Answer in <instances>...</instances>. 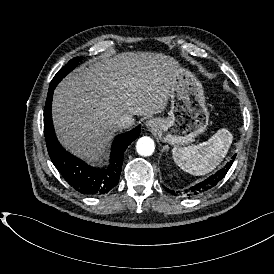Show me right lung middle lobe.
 Segmentation results:
<instances>
[{
	"label": "right lung middle lobe",
	"mask_w": 274,
	"mask_h": 274,
	"mask_svg": "<svg viewBox=\"0 0 274 274\" xmlns=\"http://www.w3.org/2000/svg\"><path fill=\"white\" fill-rule=\"evenodd\" d=\"M79 58L76 57L70 60L53 78L50 85L56 86L62 78H64L69 72H71L78 64Z\"/></svg>",
	"instance_id": "right-lung-middle-lobe-1"
}]
</instances>
